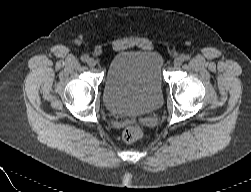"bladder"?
<instances>
[{
  "label": "bladder",
  "mask_w": 251,
  "mask_h": 192,
  "mask_svg": "<svg viewBox=\"0 0 251 192\" xmlns=\"http://www.w3.org/2000/svg\"><path fill=\"white\" fill-rule=\"evenodd\" d=\"M163 58L153 50H124L114 56L106 74L103 101L113 114L138 116L162 102Z\"/></svg>",
  "instance_id": "obj_1"
}]
</instances>
